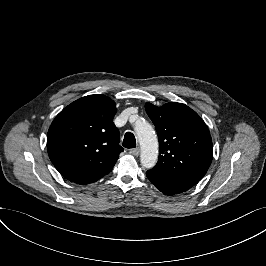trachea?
Masks as SVG:
<instances>
[{
    "label": "trachea",
    "mask_w": 266,
    "mask_h": 266,
    "mask_svg": "<svg viewBox=\"0 0 266 266\" xmlns=\"http://www.w3.org/2000/svg\"><path fill=\"white\" fill-rule=\"evenodd\" d=\"M123 146L125 148H135L136 146V140H135V136L133 133L131 132H127L124 136V140H123Z\"/></svg>",
    "instance_id": "1"
}]
</instances>
